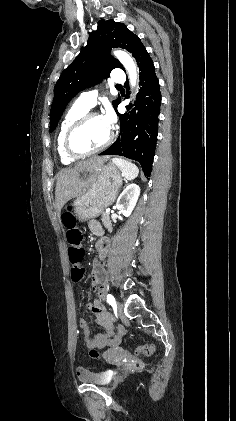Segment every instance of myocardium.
Instances as JSON below:
<instances>
[{
	"mask_svg": "<svg viewBox=\"0 0 236 421\" xmlns=\"http://www.w3.org/2000/svg\"><path fill=\"white\" fill-rule=\"evenodd\" d=\"M93 117H102V116L97 112H85L71 123V125L68 127V129L65 133L64 149H65L66 153L74 159L88 157L92 154L100 152V151L104 150L106 147H108L113 140L114 134H113V131L110 129L107 139L101 145H99L98 147L93 148V149H91L89 151H86V152H80L75 148V146H74V135H75L76 131L79 129V127L84 122H86L88 119L93 118Z\"/></svg>",
	"mask_w": 236,
	"mask_h": 421,
	"instance_id": "obj_1",
	"label": "myocardium"
}]
</instances>
